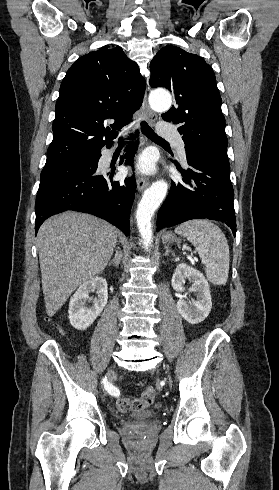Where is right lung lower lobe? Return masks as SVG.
<instances>
[{"label": "right lung lower lobe", "instance_id": "right-lung-lower-lobe-1", "mask_svg": "<svg viewBox=\"0 0 279 490\" xmlns=\"http://www.w3.org/2000/svg\"><path fill=\"white\" fill-rule=\"evenodd\" d=\"M110 147V146H109ZM137 144L126 149L125 163L132 164ZM101 154L94 159V169L98 167ZM122 163V162H121ZM115 169L100 175L94 172L71 176L46 184H40L37 192L35 231L50 216L74 210L93 214L105 219L124 232L130 234V209L135 197L134 176L124 181H113Z\"/></svg>", "mask_w": 279, "mask_h": 490}]
</instances>
